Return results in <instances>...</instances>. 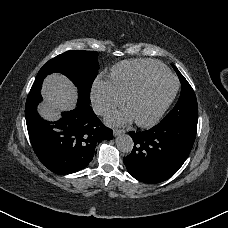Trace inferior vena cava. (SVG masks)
Masks as SVG:
<instances>
[{"mask_svg":"<svg viewBox=\"0 0 228 228\" xmlns=\"http://www.w3.org/2000/svg\"><path fill=\"white\" fill-rule=\"evenodd\" d=\"M94 112L97 115H103L109 106H107V104H104L102 101H95L92 105Z\"/></svg>","mask_w":228,"mask_h":228,"instance_id":"inferior-vena-cava-1","label":"inferior vena cava"}]
</instances>
